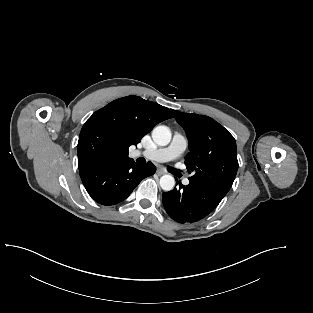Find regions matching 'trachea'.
Returning <instances> with one entry per match:
<instances>
[{
  "mask_svg": "<svg viewBox=\"0 0 313 313\" xmlns=\"http://www.w3.org/2000/svg\"><path fill=\"white\" fill-rule=\"evenodd\" d=\"M143 160V163H145V159L141 158Z\"/></svg>",
  "mask_w": 313,
  "mask_h": 313,
  "instance_id": "trachea-1",
  "label": "trachea"
}]
</instances>
